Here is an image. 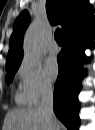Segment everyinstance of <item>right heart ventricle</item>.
Instances as JSON below:
<instances>
[{
  "instance_id": "obj_1",
  "label": "right heart ventricle",
  "mask_w": 95,
  "mask_h": 130,
  "mask_svg": "<svg viewBox=\"0 0 95 130\" xmlns=\"http://www.w3.org/2000/svg\"><path fill=\"white\" fill-rule=\"evenodd\" d=\"M15 98L19 104H24V105L30 104L24 92L17 93Z\"/></svg>"
}]
</instances>
